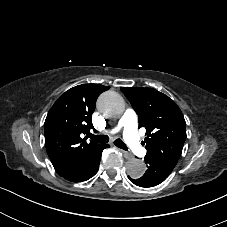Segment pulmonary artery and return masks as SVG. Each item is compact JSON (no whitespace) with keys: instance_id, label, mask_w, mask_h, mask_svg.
<instances>
[{"instance_id":"e3ab8cb5","label":"pulmonary artery","mask_w":227,"mask_h":227,"mask_svg":"<svg viewBox=\"0 0 227 227\" xmlns=\"http://www.w3.org/2000/svg\"><path fill=\"white\" fill-rule=\"evenodd\" d=\"M137 119V112L132 108H128L120 119L118 126V130L123 129V140L126 147L133 154H140L143 151V144L139 141V135L136 133Z\"/></svg>"}]
</instances>
